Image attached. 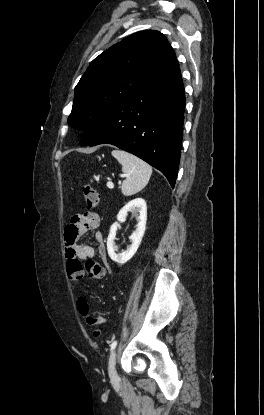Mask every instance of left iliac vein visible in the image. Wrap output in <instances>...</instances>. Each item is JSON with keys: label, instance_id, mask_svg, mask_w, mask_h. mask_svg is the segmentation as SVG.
<instances>
[{"label": "left iliac vein", "instance_id": "1", "mask_svg": "<svg viewBox=\"0 0 264 415\" xmlns=\"http://www.w3.org/2000/svg\"><path fill=\"white\" fill-rule=\"evenodd\" d=\"M115 365H116V353L115 351H113L109 359V376L111 379L117 378V371H116Z\"/></svg>", "mask_w": 264, "mask_h": 415}]
</instances>
